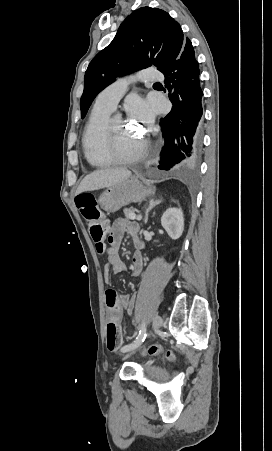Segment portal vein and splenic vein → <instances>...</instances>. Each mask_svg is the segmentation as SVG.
<instances>
[{"instance_id":"1","label":"portal vein and splenic vein","mask_w":272,"mask_h":451,"mask_svg":"<svg viewBox=\"0 0 272 451\" xmlns=\"http://www.w3.org/2000/svg\"><path fill=\"white\" fill-rule=\"evenodd\" d=\"M130 220H136V214H130ZM137 220H141L140 216Z\"/></svg>"}]
</instances>
